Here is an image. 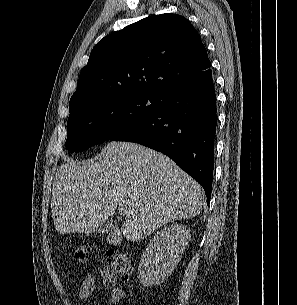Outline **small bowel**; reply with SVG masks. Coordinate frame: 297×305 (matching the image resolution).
Wrapping results in <instances>:
<instances>
[{
  "label": "small bowel",
  "mask_w": 297,
  "mask_h": 305,
  "mask_svg": "<svg viewBox=\"0 0 297 305\" xmlns=\"http://www.w3.org/2000/svg\"><path fill=\"white\" fill-rule=\"evenodd\" d=\"M102 275V285L97 289L95 286V278L92 274H88L83 282L81 283L79 289V296L83 302L88 301L95 294H105L109 293V304L116 305L120 303L125 296V292L122 288L116 286V279L109 271V269H103Z\"/></svg>",
  "instance_id": "small-bowel-1"
}]
</instances>
